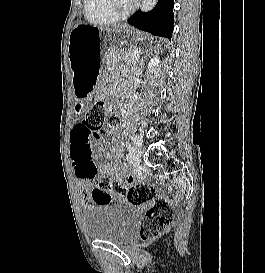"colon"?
<instances>
[{
	"instance_id": "colon-1",
	"label": "colon",
	"mask_w": 265,
	"mask_h": 273,
	"mask_svg": "<svg viewBox=\"0 0 265 273\" xmlns=\"http://www.w3.org/2000/svg\"><path fill=\"white\" fill-rule=\"evenodd\" d=\"M120 121L119 115L108 114L106 107L101 102L94 103L85 115V126L94 144L99 143L106 134L112 132L120 124ZM96 186H102V190H113L125 194L128 201L134 205H144L153 201L145 214L139 231L140 238L144 242L158 238L173 224L174 202L165 198H155V190L148 183L137 182L125 187L117 179L102 177Z\"/></svg>"
}]
</instances>
